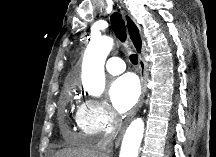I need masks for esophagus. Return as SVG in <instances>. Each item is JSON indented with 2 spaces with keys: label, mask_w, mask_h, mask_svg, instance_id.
<instances>
[{
  "label": "esophagus",
  "mask_w": 216,
  "mask_h": 157,
  "mask_svg": "<svg viewBox=\"0 0 216 157\" xmlns=\"http://www.w3.org/2000/svg\"><path fill=\"white\" fill-rule=\"evenodd\" d=\"M122 16H123V19L125 21L128 35L130 37L132 45L139 55V66H140V75H141V96H140L139 102L137 103V105L135 106V108L133 110V113H132V116H133L134 113L137 111L138 107L141 105L142 99L146 93V67H145V61L143 58L144 42H143V40H141V48H139V46L136 42L134 43V41L132 39L133 35H134V26L137 27L138 31L140 30L139 26L137 25L135 20L132 18V16L130 14H128L127 12L122 11ZM130 119L128 120V122L130 121ZM126 126H127V124L123 127V129L121 130V132L119 133V135L115 141L116 147L119 146V144L121 142V139H122V136L124 134Z\"/></svg>",
  "instance_id": "obj_1"
}]
</instances>
